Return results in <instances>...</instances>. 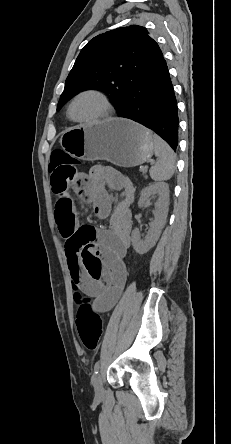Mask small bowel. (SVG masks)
<instances>
[{"label": "small bowel", "instance_id": "small-bowel-1", "mask_svg": "<svg viewBox=\"0 0 231 444\" xmlns=\"http://www.w3.org/2000/svg\"><path fill=\"white\" fill-rule=\"evenodd\" d=\"M58 195L56 224L65 241V255L72 284L93 299L95 312L109 311L118 301L127 280L125 255L131 239L133 187L121 173L106 166H94L88 175L64 186L51 181ZM107 186L121 192V200L111 212ZM73 192L90 203L96 217L110 216L109 226L81 236Z\"/></svg>", "mask_w": 231, "mask_h": 444}]
</instances>
